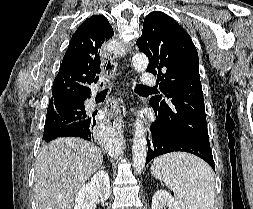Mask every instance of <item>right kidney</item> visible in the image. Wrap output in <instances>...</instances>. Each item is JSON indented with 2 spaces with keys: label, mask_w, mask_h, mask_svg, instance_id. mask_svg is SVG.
<instances>
[{
  "label": "right kidney",
  "mask_w": 253,
  "mask_h": 209,
  "mask_svg": "<svg viewBox=\"0 0 253 209\" xmlns=\"http://www.w3.org/2000/svg\"><path fill=\"white\" fill-rule=\"evenodd\" d=\"M110 180L105 171L97 172L78 191L74 209H93L97 198L107 200L110 197Z\"/></svg>",
  "instance_id": "1"
}]
</instances>
